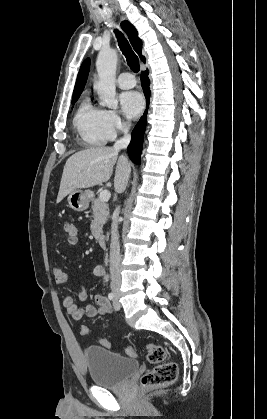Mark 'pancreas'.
I'll return each instance as SVG.
<instances>
[{
    "instance_id": "pancreas-1",
    "label": "pancreas",
    "mask_w": 267,
    "mask_h": 419,
    "mask_svg": "<svg viewBox=\"0 0 267 419\" xmlns=\"http://www.w3.org/2000/svg\"><path fill=\"white\" fill-rule=\"evenodd\" d=\"M92 210H93V220L91 222V232L92 235L99 239L102 234L103 225L106 223L107 218L109 217V207L105 201H102L98 198H92Z\"/></svg>"
}]
</instances>
